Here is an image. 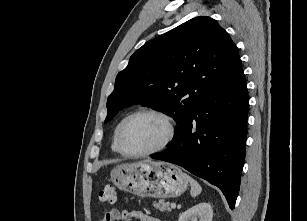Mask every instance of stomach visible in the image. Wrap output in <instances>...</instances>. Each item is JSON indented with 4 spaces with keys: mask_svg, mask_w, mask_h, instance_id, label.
Masks as SVG:
<instances>
[{
    "mask_svg": "<svg viewBox=\"0 0 307 221\" xmlns=\"http://www.w3.org/2000/svg\"><path fill=\"white\" fill-rule=\"evenodd\" d=\"M111 180L119 189L139 197H178L188 187V179L179 167L152 160L117 165Z\"/></svg>",
    "mask_w": 307,
    "mask_h": 221,
    "instance_id": "0dacf381",
    "label": "stomach"
}]
</instances>
